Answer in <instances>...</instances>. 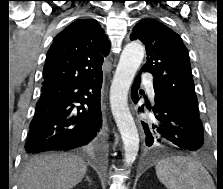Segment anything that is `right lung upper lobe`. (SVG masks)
I'll return each instance as SVG.
<instances>
[{
	"mask_svg": "<svg viewBox=\"0 0 223 189\" xmlns=\"http://www.w3.org/2000/svg\"><path fill=\"white\" fill-rule=\"evenodd\" d=\"M110 43L96 20L71 23L53 40L46 55L43 86L86 81L102 75Z\"/></svg>",
	"mask_w": 223,
	"mask_h": 189,
	"instance_id": "obj_1",
	"label": "right lung upper lobe"
}]
</instances>
